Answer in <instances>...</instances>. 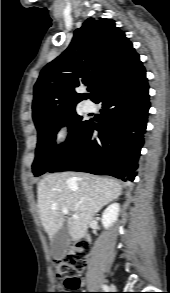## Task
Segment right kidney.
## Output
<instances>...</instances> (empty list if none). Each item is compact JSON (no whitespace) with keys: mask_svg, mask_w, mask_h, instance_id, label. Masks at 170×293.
<instances>
[{"mask_svg":"<svg viewBox=\"0 0 170 293\" xmlns=\"http://www.w3.org/2000/svg\"><path fill=\"white\" fill-rule=\"evenodd\" d=\"M120 206L118 203H113L106 208L102 214V224L104 228H110L117 221L119 216Z\"/></svg>","mask_w":170,"mask_h":293,"instance_id":"right-kidney-1","label":"right kidney"}]
</instances>
